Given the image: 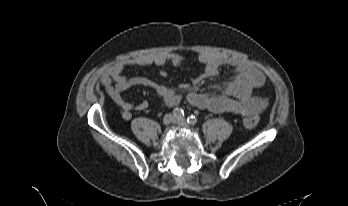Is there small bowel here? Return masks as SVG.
Returning <instances> with one entry per match:
<instances>
[{
  "mask_svg": "<svg viewBox=\"0 0 348 206\" xmlns=\"http://www.w3.org/2000/svg\"><path fill=\"white\" fill-rule=\"evenodd\" d=\"M184 57L179 53L142 54L132 59L114 64L102 73L100 84L105 93L120 108L124 120H130L132 111H142L148 107V102H130L122 96V92L133 86H144L154 89L169 107L177 106L182 97L204 110L215 113L231 112L242 116L256 115L264 110L267 102L254 95V90L265 82L263 73L251 63L236 58L203 52L199 61L204 65V72L193 79L192 85L196 86L202 79L215 76L224 65L232 66L237 75L225 84L224 90L218 95L200 93L191 90V85L184 83L178 89L158 84L145 77H126L124 71L127 66L146 67L151 65H164L171 63L178 67L183 64ZM165 74V73H163Z\"/></svg>",
  "mask_w": 348,
  "mask_h": 206,
  "instance_id": "small-bowel-1",
  "label": "small bowel"
}]
</instances>
